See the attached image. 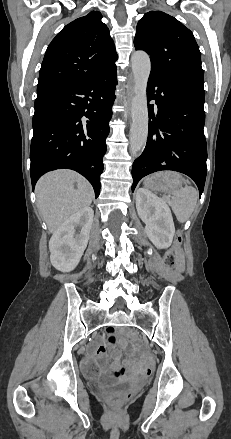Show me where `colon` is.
<instances>
[{
	"instance_id": "5ec220e1",
	"label": "colon",
	"mask_w": 231,
	"mask_h": 439,
	"mask_svg": "<svg viewBox=\"0 0 231 439\" xmlns=\"http://www.w3.org/2000/svg\"><path fill=\"white\" fill-rule=\"evenodd\" d=\"M181 241H182L181 235L177 234V236L175 238L173 249L169 254H167V256L165 258L166 265L174 266L176 263H178V264L181 263V256L179 254V248H180ZM128 335H129L130 339H132L133 341L139 340V334L136 331H129ZM123 400H124V396L122 394L116 393V394H113L111 396V402L114 405H117V406L121 405Z\"/></svg>"
}]
</instances>
